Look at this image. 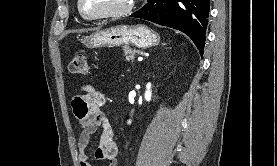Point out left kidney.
<instances>
[{
    "label": "left kidney",
    "instance_id": "1",
    "mask_svg": "<svg viewBox=\"0 0 277 166\" xmlns=\"http://www.w3.org/2000/svg\"><path fill=\"white\" fill-rule=\"evenodd\" d=\"M146 88H147V90H146V92H145V99H146L147 101H150V100H151V96H152L151 84L148 83L147 86H146ZM129 123H130V121H129Z\"/></svg>",
    "mask_w": 277,
    "mask_h": 166
}]
</instances>
